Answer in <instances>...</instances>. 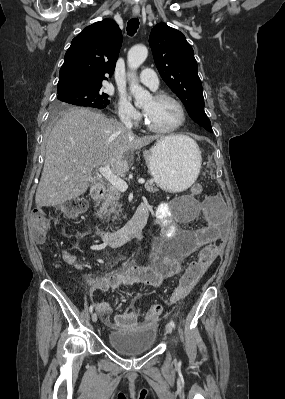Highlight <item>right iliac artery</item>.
<instances>
[{"instance_id":"obj_1","label":"right iliac artery","mask_w":285,"mask_h":399,"mask_svg":"<svg viewBox=\"0 0 285 399\" xmlns=\"http://www.w3.org/2000/svg\"><path fill=\"white\" fill-rule=\"evenodd\" d=\"M93 312V305L90 306V313Z\"/></svg>"}]
</instances>
